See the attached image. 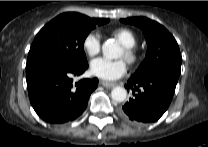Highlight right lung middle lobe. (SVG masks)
Returning a JSON list of instances; mask_svg holds the SVG:
<instances>
[{
    "instance_id": "dd1d6c3e",
    "label": "right lung middle lobe",
    "mask_w": 208,
    "mask_h": 147,
    "mask_svg": "<svg viewBox=\"0 0 208 147\" xmlns=\"http://www.w3.org/2000/svg\"><path fill=\"white\" fill-rule=\"evenodd\" d=\"M108 21L105 18L99 22L88 21L71 14L57 16L36 35L26 65L52 59L87 65L84 41L92 29Z\"/></svg>"
}]
</instances>
